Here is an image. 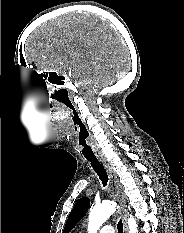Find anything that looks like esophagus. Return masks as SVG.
Masks as SVG:
<instances>
[{"mask_svg": "<svg viewBox=\"0 0 184 233\" xmlns=\"http://www.w3.org/2000/svg\"><path fill=\"white\" fill-rule=\"evenodd\" d=\"M99 160L103 164V166L105 167V169L108 173L109 180H110L111 195L120 205L123 206L125 203V200L121 196V191L119 188V184H118L117 175H116L115 170L113 169L112 165L110 164V162L107 159L100 157ZM118 213L121 215V218H122L124 233H127L128 228H127V224L125 221V214L121 210H118Z\"/></svg>", "mask_w": 184, "mask_h": 233, "instance_id": "34e87169", "label": "esophagus"}]
</instances>
